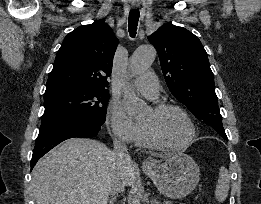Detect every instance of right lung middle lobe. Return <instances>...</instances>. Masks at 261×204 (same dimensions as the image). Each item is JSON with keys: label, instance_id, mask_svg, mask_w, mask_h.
Returning <instances> with one entry per match:
<instances>
[{"label": "right lung middle lobe", "instance_id": "right-lung-middle-lobe-1", "mask_svg": "<svg viewBox=\"0 0 261 204\" xmlns=\"http://www.w3.org/2000/svg\"><path fill=\"white\" fill-rule=\"evenodd\" d=\"M108 100L107 90H63L44 94L42 123L67 118H91L105 122Z\"/></svg>", "mask_w": 261, "mask_h": 204}]
</instances>
